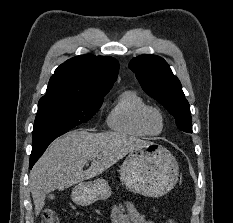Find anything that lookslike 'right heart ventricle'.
<instances>
[{"instance_id":"e07e8e85","label":"right heart ventricle","mask_w":233,"mask_h":223,"mask_svg":"<svg viewBox=\"0 0 233 223\" xmlns=\"http://www.w3.org/2000/svg\"><path fill=\"white\" fill-rule=\"evenodd\" d=\"M147 103L135 89L120 91L107 111L105 123L109 130L135 138H144L147 134L139 125V113Z\"/></svg>"}]
</instances>
